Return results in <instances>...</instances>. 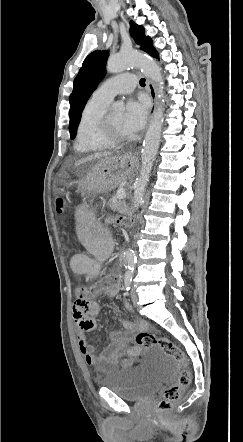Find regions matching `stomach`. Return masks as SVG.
<instances>
[{
    "mask_svg": "<svg viewBox=\"0 0 243 442\" xmlns=\"http://www.w3.org/2000/svg\"><path fill=\"white\" fill-rule=\"evenodd\" d=\"M136 162L132 154L102 159L81 180L78 190L83 194L109 192L133 173Z\"/></svg>",
    "mask_w": 243,
    "mask_h": 442,
    "instance_id": "obj_1",
    "label": "stomach"
}]
</instances>
